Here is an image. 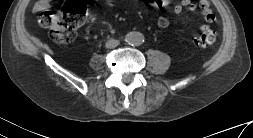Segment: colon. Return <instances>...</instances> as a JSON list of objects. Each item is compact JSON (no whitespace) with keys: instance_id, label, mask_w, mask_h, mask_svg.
<instances>
[{"instance_id":"5ec220e1","label":"colon","mask_w":253,"mask_h":138,"mask_svg":"<svg viewBox=\"0 0 253 138\" xmlns=\"http://www.w3.org/2000/svg\"><path fill=\"white\" fill-rule=\"evenodd\" d=\"M87 7L84 0H68L57 11H42L39 14V23L48 28L50 36L55 43L65 44L70 42L75 31L86 20ZM216 41V34L212 30H204L197 38L200 46H209Z\"/></svg>"}]
</instances>
